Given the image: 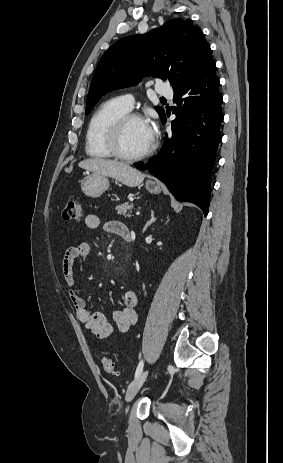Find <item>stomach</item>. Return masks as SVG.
<instances>
[{"label": "stomach", "mask_w": 283, "mask_h": 463, "mask_svg": "<svg viewBox=\"0 0 283 463\" xmlns=\"http://www.w3.org/2000/svg\"><path fill=\"white\" fill-rule=\"evenodd\" d=\"M145 187L151 194H159L161 192L160 184L157 181L148 180ZM108 188L109 180L102 175L92 174L81 181V190L89 197H98Z\"/></svg>", "instance_id": "obj_1"}]
</instances>
